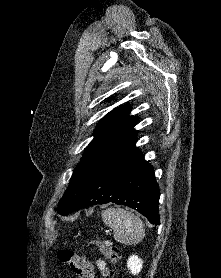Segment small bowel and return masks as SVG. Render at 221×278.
Masks as SVG:
<instances>
[{"label":"small bowel","mask_w":221,"mask_h":278,"mask_svg":"<svg viewBox=\"0 0 221 278\" xmlns=\"http://www.w3.org/2000/svg\"><path fill=\"white\" fill-rule=\"evenodd\" d=\"M85 260L92 266L93 271H94V265L90 261H88L86 258H85ZM96 266L98 267V269H100L104 273V275H108V269H107L106 264H105L104 261L99 260L96 263Z\"/></svg>","instance_id":"small-bowel-1"}]
</instances>
